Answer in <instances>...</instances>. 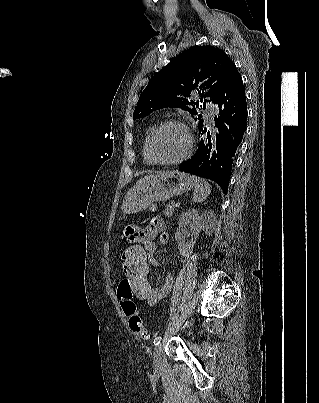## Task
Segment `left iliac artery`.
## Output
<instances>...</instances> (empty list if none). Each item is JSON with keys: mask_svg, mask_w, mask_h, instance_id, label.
Returning <instances> with one entry per match:
<instances>
[{"mask_svg": "<svg viewBox=\"0 0 319 403\" xmlns=\"http://www.w3.org/2000/svg\"><path fill=\"white\" fill-rule=\"evenodd\" d=\"M187 323L188 322L185 323V326L187 325ZM161 340H162V336H157L153 341L154 345L157 346L161 342Z\"/></svg>", "mask_w": 319, "mask_h": 403, "instance_id": "left-iliac-artery-1", "label": "left iliac artery"}]
</instances>
